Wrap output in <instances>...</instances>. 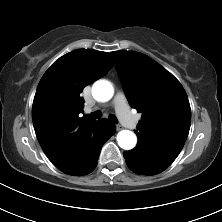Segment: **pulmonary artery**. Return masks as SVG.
Here are the masks:
<instances>
[{"label": "pulmonary artery", "instance_id": "obj_1", "mask_svg": "<svg viewBox=\"0 0 222 222\" xmlns=\"http://www.w3.org/2000/svg\"><path fill=\"white\" fill-rule=\"evenodd\" d=\"M112 104L115 108V111L119 119L125 126L129 128L136 127L137 121L133 116H131L130 111H129V106L126 101V97L122 92H117V94L115 95L113 99ZM91 111H92L91 108L86 109L87 113Z\"/></svg>", "mask_w": 222, "mask_h": 222}]
</instances>
